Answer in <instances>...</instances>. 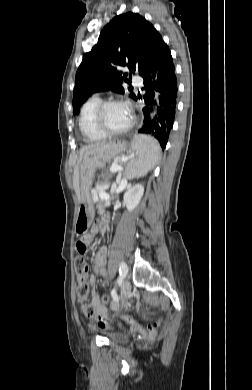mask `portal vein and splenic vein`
Returning <instances> with one entry per match:
<instances>
[{"mask_svg":"<svg viewBox=\"0 0 252 390\" xmlns=\"http://www.w3.org/2000/svg\"><path fill=\"white\" fill-rule=\"evenodd\" d=\"M128 159H129V158H127V157H122L121 159L114 161V162L112 163V166H111V168H110V171H111V172L121 171L123 168H122V166H121L120 164H121L122 162H126ZM112 189H113V190H116L117 192L119 191V188H116V185H113V186H112ZM100 196L103 197V198H105V199H107V198L109 197V195L106 194V193H103V194H101Z\"/></svg>","mask_w":252,"mask_h":390,"instance_id":"1","label":"portal vein and splenic vein"}]
</instances>
